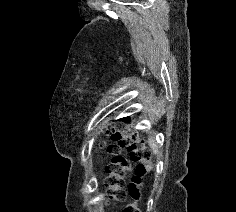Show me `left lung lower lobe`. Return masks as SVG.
I'll return each instance as SVG.
<instances>
[{"label": "left lung lower lobe", "instance_id": "1", "mask_svg": "<svg viewBox=\"0 0 236 212\" xmlns=\"http://www.w3.org/2000/svg\"><path fill=\"white\" fill-rule=\"evenodd\" d=\"M129 117H126V118H122L121 120H124V121H129Z\"/></svg>", "mask_w": 236, "mask_h": 212}]
</instances>
